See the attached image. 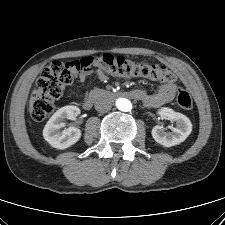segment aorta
Returning a JSON list of instances; mask_svg holds the SVG:
<instances>
[{"label": "aorta", "mask_w": 225, "mask_h": 225, "mask_svg": "<svg viewBox=\"0 0 225 225\" xmlns=\"http://www.w3.org/2000/svg\"><path fill=\"white\" fill-rule=\"evenodd\" d=\"M116 106L119 110L124 112H128L132 109V103L126 98L117 99Z\"/></svg>", "instance_id": "762f6f07"}]
</instances>
